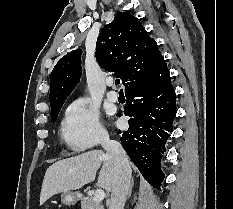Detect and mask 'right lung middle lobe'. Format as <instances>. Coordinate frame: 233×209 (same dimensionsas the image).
Masks as SVG:
<instances>
[{
    "label": "right lung middle lobe",
    "mask_w": 233,
    "mask_h": 209,
    "mask_svg": "<svg viewBox=\"0 0 233 209\" xmlns=\"http://www.w3.org/2000/svg\"><path fill=\"white\" fill-rule=\"evenodd\" d=\"M61 107H62V106H60V107H58L57 109H55V110L52 111V117H51L52 123H54V122L56 121L57 116H58V114H59V112H60Z\"/></svg>",
    "instance_id": "dd1d6c3e"
}]
</instances>
